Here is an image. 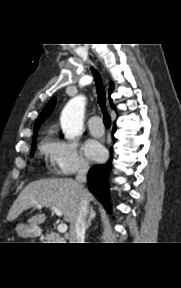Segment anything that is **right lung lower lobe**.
I'll list each match as a JSON object with an SVG mask.
<instances>
[{"label":"right lung lower lobe","mask_w":181,"mask_h":288,"mask_svg":"<svg viewBox=\"0 0 181 288\" xmlns=\"http://www.w3.org/2000/svg\"><path fill=\"white\" fill-rule=\"evenodd\" d=\"M116 128H113V133ZM112 154V149L110 150ZM111 170V160L104 165L93 166L88 173L89 190L97 197L108 212H111L109 199L108 175Z\"/></svg>","instance_id":"obj_1"}]
</instances>
